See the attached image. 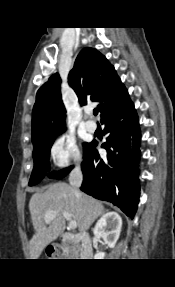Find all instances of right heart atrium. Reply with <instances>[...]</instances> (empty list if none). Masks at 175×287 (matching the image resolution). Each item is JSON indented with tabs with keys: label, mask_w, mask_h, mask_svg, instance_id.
Masks as SVG:
<instances>
[{
	"label": "right heart atrium",
	"mask_w": 175,
	"mask_h": 287,
	"mask_svg": "<svg viewBox=\"0 0 175 287\" xmlns=\"http://www.w3.org/2000/svg\"><path fill=\"white\" fill-rule=\"evenodd\" d=\"M49 158L56 168H66L72 163H80L81 156L75 139L69 135L58 136L49 148Z\"/></svg>",
	"instance_id": "right-heart-atrium-1"
}]
</instances>
